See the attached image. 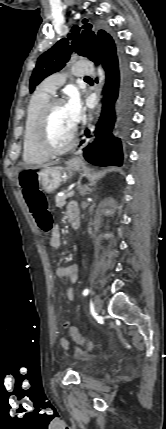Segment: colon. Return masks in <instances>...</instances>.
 Instances as JSON below:
<instances>
[{
  "label": "colon",
  "mask_w": 166,
  "mask_h": 429,
  "mask_svg": "<svg viewBox=\"0 0 166 429\" xmlns=\"http://www.w3.org/2000/svg\"><path fill=\"white\" fill-rule=\"evenodd\" d=\"M19 183L23 197L38 227L44 232L50 231L53 227L52 215L48 209L47 199L39 188L37 171L33 168L23 170L19 175ZM64 327L68 330L71 338L78 344L85 346L89 350L99 348V345L88 340L76 328L70 326L68 322L64 323Z\"/></svg>",
  "instance_id": "1"
}]
</instances>
